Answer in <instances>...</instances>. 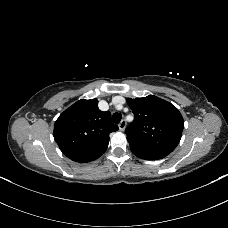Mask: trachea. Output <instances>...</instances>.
I'll use <instances>...</instances> for the list:
<instances>
[{"label":"trachea","mask_w":228,"mask_h":228,"mask_svg":"<svg viewBox=\"0 0 228 228\" xmlns=\"http://www.w3.org/2000/svg\"><path fill=\"white\" fill-rule=\"evenodd\" d=\"M112 118H113V122L117 124L121 121L122 115L120 113H114Z\"/></svg>","instance_id":"trachea-1"}]
</instances>
